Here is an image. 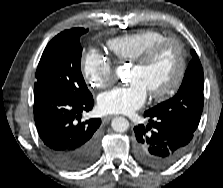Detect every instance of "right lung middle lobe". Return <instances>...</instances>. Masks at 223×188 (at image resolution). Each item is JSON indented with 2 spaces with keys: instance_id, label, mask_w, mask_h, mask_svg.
Segmentation results:
<instances>
[{
  "instance_id": "right-lung-middle-lobe-1",
  "label": "right lung middle lobe",
  "mask_w": 223,
  "mask_h": 188,
  "mask_svg": "<svg viewBox=\"0 0 223 188\" xmlns=\"http://www.w3.org/2000/svg\"><path fill=\"white\" fill-rule=\"evenodd\" d=\"M88 29L81 27L65 30L46 46L36 71L34 90H46L68 95L75 99L92 96L81 73V35Z\"/></svg>"
}]
</instances>
